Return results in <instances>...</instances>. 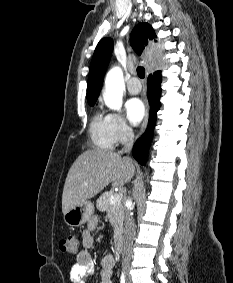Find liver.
I'll use <instances>...</instances> for the list:
<instances>
[{"label":"liver","mask_w":233,"mask_h":283,"mask_svg":"<svg viewBox=\"0 0 233 283\" xmlns=\"http://www.w3.org/2000/svg\"><path fill=\"white\" fill-rule=\"evenodd\" d=\"M135 173L131 158L106 150H87L72 164L63 188L62 212L96 196L109 184L121 187Z\"/></svg>","instance_id":"obj_1"}]
</instances>
